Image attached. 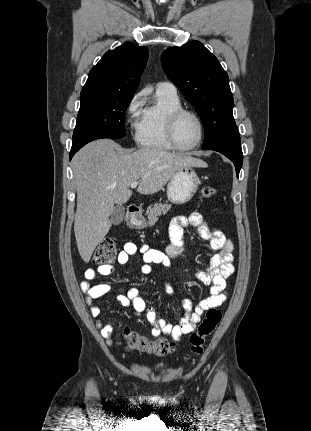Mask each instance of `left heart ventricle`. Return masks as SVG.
Returning <instances> with one entry per match:
<instances>
[{"label":"left heart ventricle","mask_w":311,"mask_h":431,"mask_svg":"<svg viewBox=\"0 0 311 431\" xmlns=\"http://www.w3.org/2000/svg\"><path fill=\"white\" fill-rule=\"evenodd\" d=\"M201 135V126L198 119L191 115H183L176 130V136L179 144L184 147H189L195 144Z\"/></svg>","instance_id":"left-heart-ventricle-1"}]
</instances>
